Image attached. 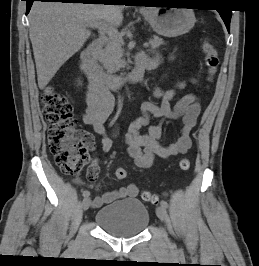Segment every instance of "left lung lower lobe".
Segmentation results:
<instances>
[{"label":"left lung lower lobe","mask_w":259,"mask_h":266,"mask_svg":"<svg viewBox=\"0 0 259 266\" xmlns=\"http://www.w3.org/2000/svg\"><path fill=\"white\" fill-rule=\"evenodd\" d=\"M168 1L169 0H166V2H156V3H169V4H172L171 2H168ZM218 11L220 12V15H221L226 27H227V30L230 31V20H231L232 11H230L228 9H219Z\"/></svg>","instance_id":"1"}]
</instances>
